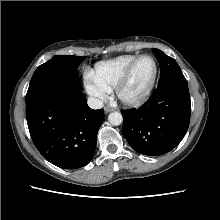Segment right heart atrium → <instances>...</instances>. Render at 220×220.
I'll return each mask as SVG.
<instances>
[{
	"label": "right heart atrium",
	"mask_w": 220,
	"mask_h": 220,
	"mask_svg": "<svg viewBox=\"0 0 220 220\" xmlns=\"http://www.w3.org/2000/svg\"><path fill=\"white\" fill-rule=\"evenodd\" d=\"M85 87L87 93L96 104L103 103L110 93V90L100 83L95 76L88 71L85 72Z\"/></svg>",
	"instance_id": "obj_1"
}]
</instances>
